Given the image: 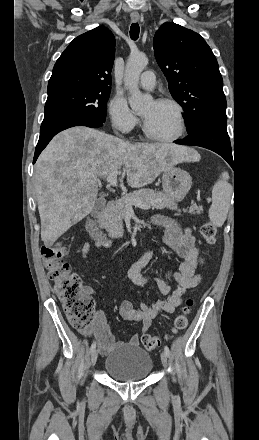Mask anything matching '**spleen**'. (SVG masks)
I'll return each mask as SVG.
<instances>
[{
	"instance_id": "spleen-1",
	"label": "spleen",
	"mask_w": 259,
	"mask_h": 440,
	"mask_svg": "<svg viewBox=\"0 0 259 440\" xmlns=\"http://www.w3.org/2000/svg\"><path fill=\"white\" fill-rule=\"evenodd\" d=\"M228 180L229 175L224 171L212 189V205L209 209V218L213 225L217 227L224 224L230 207L233 188Z\"/></svg>"
}]
</instances>
